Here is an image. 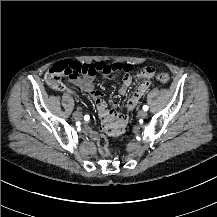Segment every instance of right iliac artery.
Masks as SVG:
<instances>
[{
  "instance_id": "obj_1",
  "label": "right iliac artery",
  "mask_w": 217,
  "mask_h": 217,
  "mask_svg": "<svg viewBox=\"0 0 217 217\" xmlns=\"http://www.w3.org/2000/svg\"><path fill=\"white\" fill-rule=\"evenodd\" d=\"M90 120V115H85L84 116V121H89Z\"/></svg>"
}]
</instances>
